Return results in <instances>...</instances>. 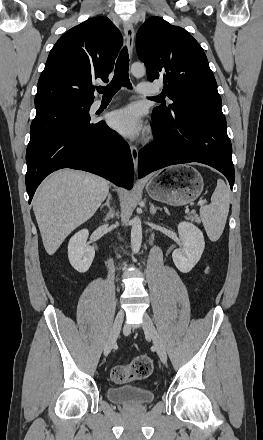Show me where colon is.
<instances>
[{
	"label": "colon",
	"instance_id": "5ec220e1",
	"mask_svg": "<svg viewBox=\"0 0 263 440\" xmlns=\"http://www.w3.org/2000/svg\"><path fill=\"white\" fill-rule=\"evenodd\" d=\"M153 363L149 356L140 355L132 361L112 368L111 378L115 383H130L146 379L152 372Z\"/></svg>",
	"mask_w": 263,
	"mask_h": 440
}]
</instances>
